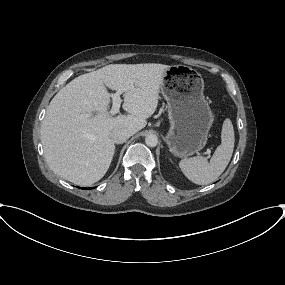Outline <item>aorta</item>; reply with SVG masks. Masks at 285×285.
<instances>
[{
	"mask_svg": "<svg viewBox=\"0 0 285 285\" xmlns=\"http://www.w3.org/2000/svg\"><path fill=\"white\" fill-rule=\"evenodd\" d=\"M145 143L149 147H155L158 144V138L154 134H149L145 138Z\"/></svg>",
	"mask_w": 285,
	"mask_h": 285,
	"instance_id": "762f6f07",
	"label": "aorta"
}]
</instances>
